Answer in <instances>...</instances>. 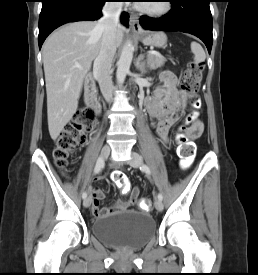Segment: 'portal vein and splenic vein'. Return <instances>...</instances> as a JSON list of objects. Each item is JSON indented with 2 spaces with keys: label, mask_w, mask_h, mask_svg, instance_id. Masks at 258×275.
Instances as JSON below:
<instances>
[{
  "label": "portal vein and splenic vein",
  "mask_w": 258,
  "mask_h": 275,
  "mask_svg": "<svg viewBox=\"0 0 258 275\" xmlns=\"http://www.w3.org/2000/svg\"><path fill=\"white\" fill-rule=\"evenodd\" d=\"M147 54H148V55H157V56L162 57L159 53H157V52H155V51H148Z\"/></svg>",
  "instance_id": "18ae733b"
}]
</instances>
